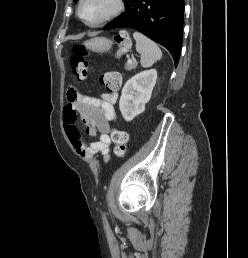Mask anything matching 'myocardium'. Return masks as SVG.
Instances as JSON below:
<instances>
[{"label": "myocardium", "mask_w": 248, "mask_h": 258, "mask_svg": "<svg viewBox=\"0 0 248 258\" xmlns=\"http://www.w3.org/2000/svg\"><path fill=\"white\" fill-rule=\"evenodd\" d=\"M84 2H85V0H79L77 13H78L79 18L85 24H87L88 26H91V27L102 26V25L114 20L122 13V11L124 9V0H114V7L107 15H105L104 17L100 18L97 21L90 22V21H87L82 14V7H83Z\"/></svg>", "instance_id": "1"}]
</instances>
